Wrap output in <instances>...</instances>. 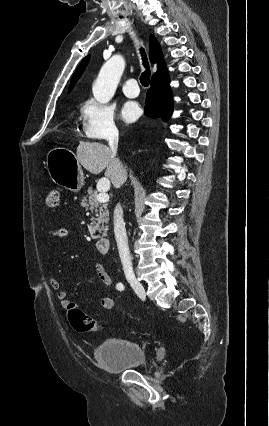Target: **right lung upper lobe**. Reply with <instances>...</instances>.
<instances>
[{
    "label": "right lung upper lobe",
    "mask_w": 269,
    "mask_h": 426,
    "mask_svg": "<svg viewBox=\"0 0 269 426\" xmlns=\"http://www.w3.org/2000/svg\"><path fill=\"white\" fill-rule=\"evenodd\" d=\"M149 56H150L151 63L153 64L157 63V72L154 73V75L152 76V79H153L166 72V66L161 53V47L153 35H150V40H149ZM89 58L90 56L85 57L80 63L79 67L77 68L76 72L73 74L69 92L72 90V88L74 87V84L77 82L78 78L81 76V74L85 70V67L89 61Z\"/></svg>",
    "instance_id": "right-lung-upper-lobe-1"
}]
</instances>
